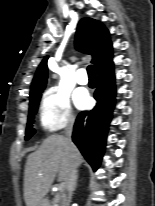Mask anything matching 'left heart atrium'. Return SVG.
Segmentation results:
<instances>
[{
    "instance_id": "1",
    "label": "left heart atrium",
    "mask_w": 155,
    "mask_h": 206,
    "mask_svg": "<svg viewBox=\"0 0 155 206\" xmlns=\"http://www.w3.org/2000/svg\"><path fill=\"white\" fill-rule=\"evenodd\" d=\"M74 100L76 105L79 108H85L89 105L90 99L86 92L84 91H77L74 96Z\"/></svg>"
}]
</instances>
